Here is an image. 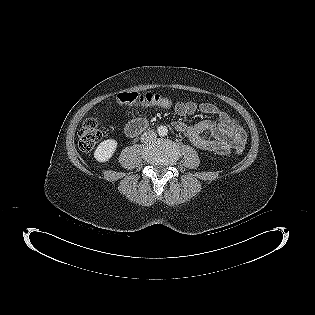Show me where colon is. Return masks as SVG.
I'll list each match as a JSON object with an SVG mask.
<instances>
[{"mask_svg":"<svg viewBox=\"0 0 315 315\" xmlns=\"http://www.w3.org/2000/svg\"><path fill=\"white\" fill-rule=\"evenodd\" d=\"M120 104H135L141 106H158L170 108L173 106L171 99L162 97L158 94L146 93L139 94L136 92H122L117 96ZM104 136L103 129L99 126L97 120L90 118L86 120L79 132V147L83 151L91 150ZM236 153L243 152V146L236 147Z\"/></svg>","mask_w":315,"mask_h":315,"instance_id":"colon-1","label":"colon"}]
</instances>
